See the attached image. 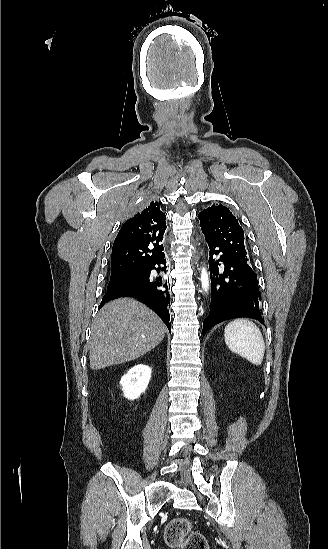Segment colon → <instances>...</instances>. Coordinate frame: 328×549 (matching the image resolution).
I'll return each mask as SVG.
<instances>
[{
    "mask_svg": "<svg viewBox=\"0 0 328 549\" xmlns=\"http://www.w3.org/2000/svg\"><path fill=\"white\" fill-rule=\"evenodd\" d=\"M164 538L166 543L176 549H208L206 538L192 531L189 519L177 517L167 525Z\"/></svg>",
    "mask_w": 328,
    "mask_h": 549,
    "instance_id": "1",
    "label": "colon"
}]
</instances>
